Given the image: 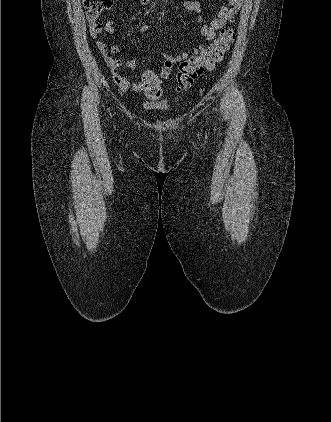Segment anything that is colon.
Segmentation results:
<instances>
[{"mask_svg": "<svg viewBox=\"0 0 331 422\" xmlns=\"http://www.w3.org/2000/svg\"><path fill=\"white\" fill-rule=\"evenodd\" d=\"M89 21H96L103 11L110 10L114 0H83ZM235 39V32L231 26L223 27L215 39L198 57H192L180 63L176 90L182 93L188 90L197 77L206 70H212L220 63ZM143 92L150 99L161 95V84L157 75L151 70H145L140 76Z\"/></svg>", "mask_w": 331, "mask_h": 422, "instance_id": "5ec220e1", "label": "colon"}]
</instances>
